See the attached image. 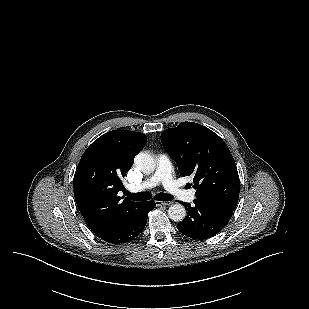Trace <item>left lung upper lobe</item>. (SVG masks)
<instances>
[{
	"instance_id": "obj_1",
	"label": "left lung upper lobe",
	"mask_w": 309,
	"mask_h": 309,
	"mask_svg": "<svg viewBox=\"0 0 309 309\" xmlns=\"http://www.w3.org/2000/svg\"><path fill=\"white\" fill-rule=\"evenodd\" d=\"M161 141L176 161L181 176L194 177L196 200L235 210L239 175L227 145L216 133L197 123L182 122L164 130Z\"/></svg>"
}]
</instances>
